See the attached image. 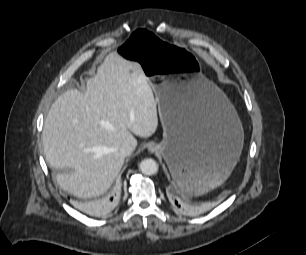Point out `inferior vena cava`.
<instances>
[{"mask_svg": "<svg viewBox=\"0 0 306 255\" xmlns=\"http://www.w3.org/2000/svg\"><path fill=\"white\" fill-rule=\"evenodd\" d=\"M135 149V146H132L130 144H124L120 149H119V153L123 156H129Z\"/></svg>", "mask_w": 306, "mask_h": 255, "instance_id": "obj_1", "label": "inferior vena cava"}]
</instances>
